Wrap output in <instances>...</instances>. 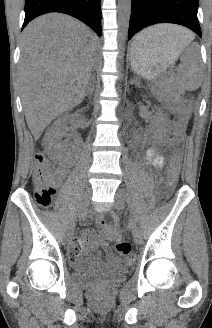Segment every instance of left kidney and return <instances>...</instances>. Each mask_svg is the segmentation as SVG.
Wrapping results in <instances>:
<instances>
[{
    "instance_id": "5707ae66",
    "label": "left kidney",
    "mask_w": 212,
    "mask_h": 328,
    "mask_svg": "<svg viewBox=\"0 0 212 328\" xmlns=\"http://www.w3.org/2000/svg\"><path fill=\"white\" fill-rule=\"evenodd\" d=\"M154 125L157 127L158 130H161L164 135H166L169 131V119L167 115L163 113H159L157 117L153 121Z\"/></svg>"
}]
</instances>
